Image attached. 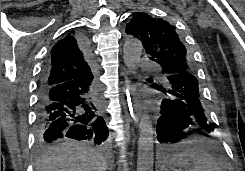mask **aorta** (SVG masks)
Masks as SVG:
<instances>
[{
	"label": "aorta",
	"mask_w": 245,
	"mask_h": 171,
	"mask_svg": "<svg viewBox=\"0 0 245 171\" xmlns=\"http://www.w3.org/2000/svg\"><path fill=\"white\" fill-rule=\"evenodd\" d=\"M139 40H128L124 44V63L131 73H136L142 53ZM154 131L150 117L143 115L139 123L137 171H153Z\"/></svg>",
	"instance_id": "obj_1"
}]
</instances>
